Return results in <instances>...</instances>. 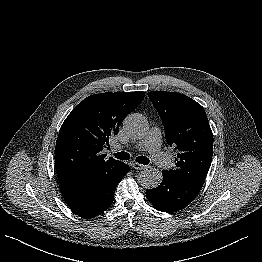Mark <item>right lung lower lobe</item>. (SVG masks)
<instances>
[{
    "mask_svg": "<svg viewBox=\"0 0 262 262\" xmlns=\"http://www.w3.org/2000/svg\"><path fill=\"white\" fill-rule=\"evenodd\" d=\"M129 171L123 163L114 172L98 174L76 183H60L62 196L78 216L90 219L103 213L113 202L116 185Z\"/></svg>",
    "mask_w": 262,
    "mask_h": 262,
    "instance_id": "right-lung-lower-lobe-1",
    "label": "right lung lower lobe"
}]
</instances>
